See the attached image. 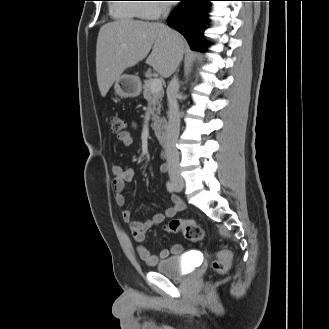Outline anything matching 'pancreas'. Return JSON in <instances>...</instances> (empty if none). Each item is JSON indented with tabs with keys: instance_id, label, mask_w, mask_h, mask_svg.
Instances as JSON below:
<instances>
[{
	"instance_id": "pancreas-1",
	"label": "pancreas",
	"mask_w": 329,
	"mask_h": 329,
	"mask_svg": "<svg viewBox=\"0 0 329 329\" xmlns=\"http://www.w3.org/2000/svg\"><path fill=\"white\" fill-rule=\"evenodd\" d=\"M151 81L152 78L149 76L147 80L144 81L143 85V96L144 99L147 100L148 105L151 106V115H152V121L156 123L158 121L160 112H161V101L164 96V91L161 89L158 92H152L151 91Z\"/></svg>"
}]
</instances>
